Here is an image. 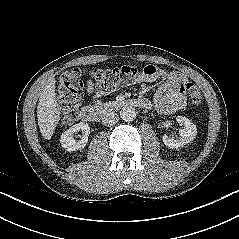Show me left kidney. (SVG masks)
<instances>
[{
	"label": "left kidney",
	"mask_w": 239,
	"mask_h": 239,
	"mask_svg": "<svg viewBox=\"0 0 239 239\" xmlns=\"http://www.w3.org/2000/svg\"><path fill=\"white\" fill-rule=\"evenodd\" d=\"M176 120L184 125V128L179 130V137L174 139L164 135L162 138L164 144L172 149L183 147L193 141L197 135V127L191 120L183 116H177Z\"/></svg>",
	"instance_id": "left-kidney-1"
}]
</instances>
